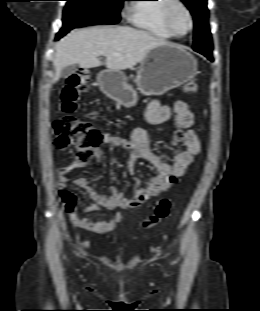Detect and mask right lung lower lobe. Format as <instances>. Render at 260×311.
<instances>
[{
    "instance_id": "right-lung-lower-lobe-1",
    "label": "right lung lower lobe",
    "mask_w": 260,
    "mask_h": 311,
    "mask_svg": "<svg viewBox=\"0 0 260 311\" xmlns=\"http://www.w3.org/2000/svg\"><path fill=\"white\" fill-rule=\"evenodd\" d=\"M70 30H68L67 32H69ZM67 32H62L60 31L57 36H56V40L60 39L63 35H65Z\"/></svg>"
}]
</instances>
